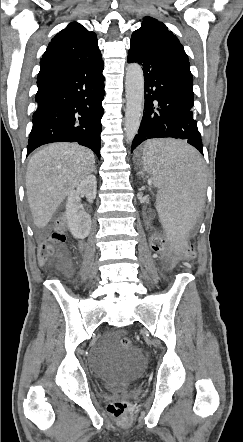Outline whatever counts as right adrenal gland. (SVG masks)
<instances>
[{
  "mask_svg": "<svg viewBox=\"0 0 243 442\" xmlns=\"http://www.w3.org/2000/svg\"><path fill=\"white\" fill-rule=\"evenodd\" d=\"M93 172H95V173H96V170H95V168L93 169Z\"/></svg>",
  "mask_w": 243,
  "mask_h": 442,
  "instance_id": "1",
  "label": "right adrenal gland"
}]
</instances>
